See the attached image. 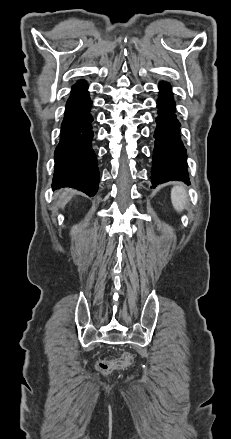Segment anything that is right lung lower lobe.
<instances>
[{
  "label": "right lung lower lobe",
  "instance_id": "right-lung-lower-lobe-1",
  "mask_svg": "<svg viewBox=\"0 0 231 439\" xmlns=\"http://www.w3.org/2000/svg\"><path fill=\"white\" fill-rule=\"evenodd\" d=\"M85 81L77 82L66 103L60 141L55 150L53 188L72 187L94 196L99 171L92 149V102Z\"/></svg>",
  "mask_w": 231,
  "mask_h": 439
}]
</instances>
